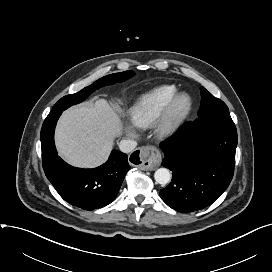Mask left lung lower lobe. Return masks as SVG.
<instances>
[{"label": "left lung lower lobe", "instance_id": "1", "mask_svg": "<svg viewBox=\"0 0 272 272\" xmlns=\"http://www.w3.org/2000/svg\"><path fill=\"white\" fill-rule=\"evenodd\" d=\"M237 131L229 111L211 113L185 123L160 144L162 165L172 181L161 189L172 209L189 213L215 202L229 186L235 165Z\"/></svg>", "mask_w": 272, "mask_h": 272}]
</instances>
